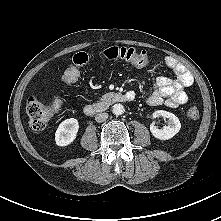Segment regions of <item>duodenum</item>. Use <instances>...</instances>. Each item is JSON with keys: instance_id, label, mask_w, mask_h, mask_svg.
Instances as JSON below:
<instances>
[{"instance_id": "obj_1", "label": "duodenum", "mask_w": 221, "mask_h": 221, "mask_svg": "<svg viewBox=\"0 0 221 221\" xmlns=\"http://www.w3.org/2000/svg\"><path fill=\"white\" fill-rule=\"evenodd\" d=\"M134 96L130 93L126 94H117L114 96L115 102H128L133 100ZM105 109V105L103 103H92L85 106L84 111L86 114H96L101 113Z\"/></svg>"}]
</instances>
